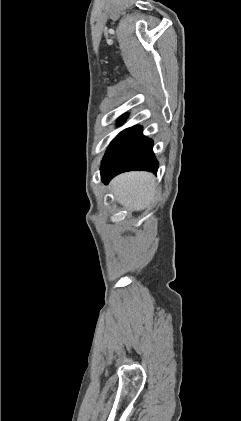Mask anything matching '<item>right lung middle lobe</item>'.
<instances>
[{
	"mask_svg": "<svg viewBox=\"0 0 241 421\" xmlns=\"http://www.w3.org/2000/svg\"><path fill=\"white\" fill-rule=\"evenodd\" d=\"M126 117H127V116L125 115V116H123V117L119 120L120 124H121L122 122H124V121H125Z\"/></svg>",
	"mask_w": 241,
	"mask_h": 421,
	"instance_id": "obj_1",
	"label": "right lung middle lobe"
}]
</instances>
